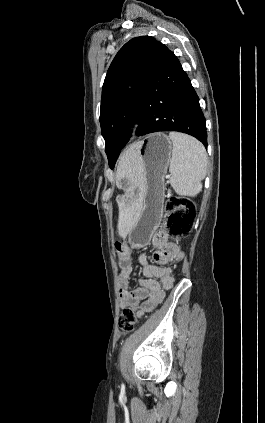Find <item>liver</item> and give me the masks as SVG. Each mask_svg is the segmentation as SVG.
<instances>
[{"mask_svg":"<svg viewBox=\"0 0 265 423\" xmlns=\"http://www.w3.org/2000/svg\"><path fill=\"white\" fill-rule=\"evenodd\" d=\"M138 143L131 145L125 153L121 155L117 167V186L121 180H127L134 186H139L142 182V168L136 161ZM130 200L126 202H119V219H118V234L125 238L129 233L130 228L136 221L140 209L141 199L129 196Z\"/></svg>","mask_w":265,"mask_h":423,"instance_id":"1","label":"liver"}]
</instances>
